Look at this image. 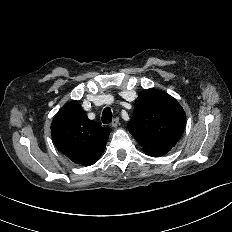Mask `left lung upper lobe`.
<instances>
[{"mask_svg": "<svg viewBox=\"0 0 232 232\" xmlns=\"http://www.w3.org/2000/svg\"><path fill=\"white\" fill-rule=\"evenodd\" d=\"M186 115L169 94L150 88L138 95L128 130L143 150L172 148L184 131Z\"/></svg>", "mask_w": 232, "mask_h": 232, "instance_id": "5c2ea615", "label": "left lung upper lobe"}]
</instances>
